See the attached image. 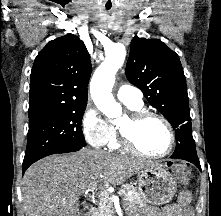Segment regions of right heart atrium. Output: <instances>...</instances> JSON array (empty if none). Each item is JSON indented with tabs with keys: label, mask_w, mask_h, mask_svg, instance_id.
Masks as SVG:
<instances>
[{
	"label": "right heart atrium",
	"mask_w": 221,
	"mask_h": 216,
	"mask_svg": "<svg viewBox=\"0 0 221 216\" xmlns=\"http://www.w3.org/2000/svg\"><path fill=\"white\" fill-rule=\"evenodd\" d=\"M81 130L85 140L92 146L100 148L106 145L109 137V124L91 103L83 112Z\"/></svg>",
	"instance_id": "right-heart-atrium-1"
}]
</instances>
